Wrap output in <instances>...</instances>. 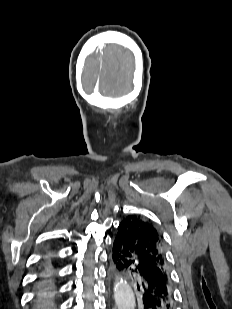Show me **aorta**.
Listing matches in <instances>:
<instances>
[{"label":"aorta","mask_w":232,"mask_h":309,"mask_svg":"<svg viewBox=\"0 0 232 309\" xmlns=\"http://www.w3.org/2000/svg\"><path fill=\"white\" fill-rule=\"evenodd\" d=\"M114 298L117 309H135V296L127 282L117 280L114 284Z\"/></svg>","instance_id":"1"}]
</instances>
